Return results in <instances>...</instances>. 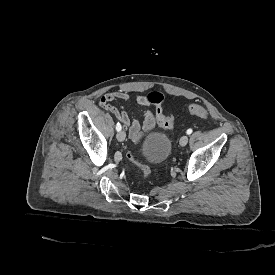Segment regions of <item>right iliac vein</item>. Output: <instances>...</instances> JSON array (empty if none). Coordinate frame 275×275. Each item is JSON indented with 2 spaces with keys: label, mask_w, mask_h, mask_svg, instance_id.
Segmentation results:
<instances>
[{
  "label": "right iliac vein",
  "mask_w": 275,
  "mask_h": 275,
  "mask_svg": "<svg viewBox=\"0 0 275 275\" xmlns=\"http://www.w3.org/2000/svg\"><path fill=\"white\" fill-rule=\"evenodd\" d=\"M116 137H117L118 141L123 142L126 138V134L124 131H118Z\"/></svg>",
  "instance_id": "right-iliac-vein-1"
}]
</instances>
